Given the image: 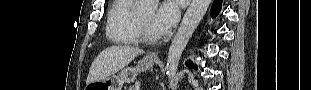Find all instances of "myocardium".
I'll list each match as a JSON object with an SVG mask.
<instances>
[{
    "label": "myocardium",
    "mask_w": 311,
    "mask_h": 90,
    "mask_svg": "<svg viewBox=\"0 0 311 90\" xmlns=\"http://www.w3.org/2000/svg\"><path fill=\"white\" fill-rule=\"evenodd\" d=\"M136 25H137V32L139 36V40L141 42L147 43V44H154L160 40V36H153L148 31L145 24L142 22L140 16L137 15L136 18Z\"/></svg>",
    "instance_id": "1"
}]
</instances>
